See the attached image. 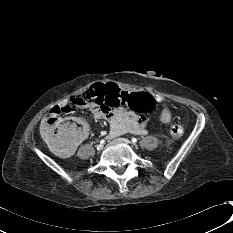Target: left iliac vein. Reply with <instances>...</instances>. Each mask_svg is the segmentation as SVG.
Instances as JSON below:
<instances>
[{"label": "left iliac vein", "instance_id": "left-iliac-vein-1", "mask_svg": "<svg viewBox=\"0 0 233 233\" xmlns=\"http://www.w3.org/2000/svg\"><path fill=\"white\" fill-rule=\"evenodd\" d=\"M120 141L128 145L130 144V141L124 138H121Z\"/></svg>", "mask_w": 233, "mask_h": 233}]
</instances>
